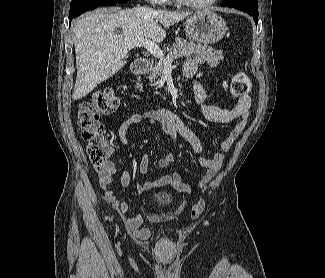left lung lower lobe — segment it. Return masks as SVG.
<instances>
[{
	"instance_id": "left-lung-lower-lobe-1",
	"label": "left lung lower lobe",
	"mask_w": 325,
	"mask_h": 278,
	"mask_svg": "<svg viewBox=\"0 0 325 278\" xmlns=\"http://www.w3.org/2000/svg\"><path fill=\"white\" fill-rule=\"evenodd\" d=\"M221 6L236 8L253 16L255 24L258 23V2L257 0H227Z\"/></svg>"
}]
</instances>
